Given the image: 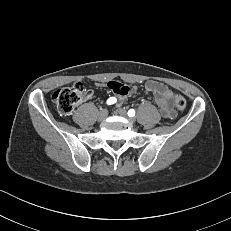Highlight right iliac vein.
<instances>
[{
	"label": "right iliac vein",
	"mask_w": 231,
	"mask_h": 231,
	"mask_svg": "<svg viewBox=\"0 0 231 231\" xmlns=\"http://www.w3.org/2000/svg\"><path fill=\"white\" fill-rule=\"evenodd\" d=\"M108 115V111L106 109L102 110L99 114H98V120L102 121L104 120Z\"/></svg>",
	"instance_id": "obj_1"
}]
</instances>
